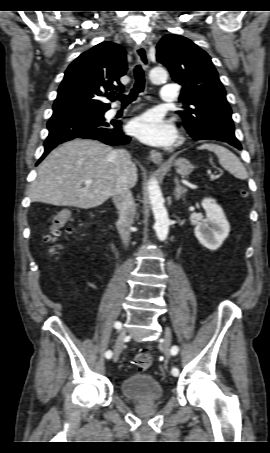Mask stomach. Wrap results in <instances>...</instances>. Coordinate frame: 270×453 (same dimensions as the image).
Here are the masks:
<instances>
[{"mask_svg": "<svg viewBox=\"0 0 270 453\" xmlns=\"http://www.w3.org/2000/svg\"><path fill=\"white\" fill-rule=\"evenodd\" d=\"M173 165L176 169V172L182 176L189 175L193 171L192 164L186 158H178L174 161Z\"/></svg>", "mask_w": 270, "mask_h": 453, "instance_id": "stomach-1", "label": "stomach"}]
</instances>
